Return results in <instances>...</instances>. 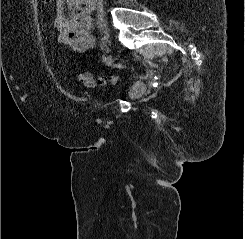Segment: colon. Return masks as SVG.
<instances>
[{
    "instance_id": "obj_1",
    "label": "colon",
    "mask_w": 245,
    "mask_h": 239,
    "mask_svg": "<svg viewBox=\"0 0 245 239\" xmlns=\"http://www.w3.org/2000/svg\"><path fill=\"white\" fill-rule=\"evenodd\" d=\"M44 3H50L52 0H41ZM80 83L87 88H96V87H106L111 84H114L118 77L115 75L105 76V77H95L89 72H83L78 77Z\"/></svg>"
}]
</instances>
